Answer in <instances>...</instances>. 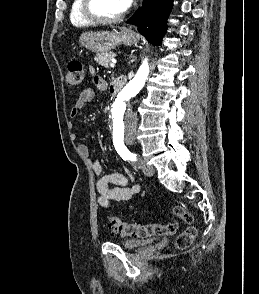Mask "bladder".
<instances>
[{
	"instance_id": "31cf9c89",
	"label": "bladder",
	"mask_w": 259,
	"mask_h": 294,
	"mask_svg": "<svg viewBox=\"0 0 259 294\" xmlns=\"http://www.w3.org/2000/svg\"><path fill=\"white\" fill-rule=\"evenodd\" d=\"M152 241L153 239H127L122 241L120 246L125 250H135Z\"/></svg>"
}]
</instances>
